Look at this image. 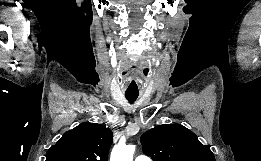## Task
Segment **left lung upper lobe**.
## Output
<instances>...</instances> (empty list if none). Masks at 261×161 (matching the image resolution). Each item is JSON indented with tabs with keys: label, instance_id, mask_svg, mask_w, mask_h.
Instances as JSON below:
<instances>
[{
	"label": "left lung upper lobe",
	"instance_id": "5c2ea615",
	"mask_svg": "<svg viewBox=\"0 0 261 161\" xmlns=\"http://www.w3.org/2000/svg\"><path fill=\"white\" fill-rule=\"evenodd\" d=\"M141 143L153 161H215L210 146L180 124L156 126L141 136Z\"/></svg>",
	"mask_w": 261,
	"mask_h": 161
}]
</instances>
